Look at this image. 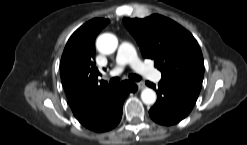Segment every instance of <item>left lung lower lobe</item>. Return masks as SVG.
Segmentation results:
<instances>
[{
  "label": "left lung lower lobe",
  "instance_id": "left-lung-lower-lobe-1",
  "mask_svg": "<svg viewBox=\"0 0 247 145\" xmlns=\"http://www.w3.org/2000/svg\"><path fill=\"white\" fill-rule=\"evenodd\" d=\"M146 84L157 92V102L149 114L161 125H173L184 119L199 95L198 91L173 80L161 79L157 88L153 83Z\"/></svg>",
  "mask_w": 247,
  "mask_h": 145
}]
</instances>
